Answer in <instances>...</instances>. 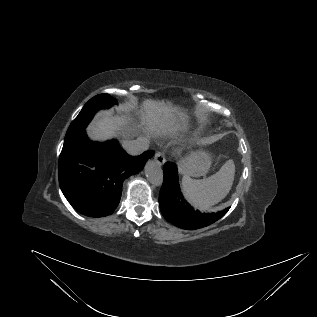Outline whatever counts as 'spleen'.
<instances>
[{"mask_svg": "<svg viewBox=\"0 0 317 317\" xmlns=\"http://www.w3.org/2000/svg\"><path fill=\"white\" fill-rule=\"evenodd\" d=\"M235 175V165L228 160L218 172L200 180L187 175L182 178V188L186 199L196 208L208 210L229 193Z\"/></svg>", "mask_w": 317, "mask_h": 317, "instance_id": "3e777b00", "label": "spleen"}]
</instances>
